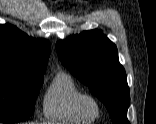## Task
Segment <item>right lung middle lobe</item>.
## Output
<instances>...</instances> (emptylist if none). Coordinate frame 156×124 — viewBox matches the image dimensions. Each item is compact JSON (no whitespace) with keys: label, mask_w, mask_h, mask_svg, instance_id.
Instances as JSON below:
<instances>
[{"label":"right lung middle lobe","mask_w":156,"mask_h":124,"mask_svg":"<svg viewBox=\"0 0 156 124\" xmlns=\"http://www.w3.org/2000/svg\"><path fill=\"white\" fill-rule=\"evenodd\" d=\"M43 75L0 70V122L26 120L34 112Z\"/></svg>","instance_id":"obj_1"}]
</instances>
